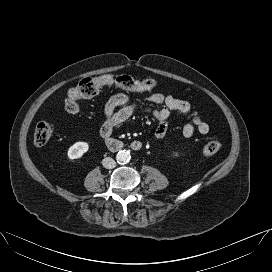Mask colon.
Wrapping results in <instances>:
<instances>
[{
    "label": "colon",
    "instance_id": "1",
    "mask_svg": "<svg viewBox=\"0 0 272 272\" xmlns=\"http://www.w3.org/2000/svg\"><path fill=\"white\" fill-rule=\"evenodd\" d=\"M113 86L125 92H142L156 86L153 79L135 80L130 76H112L102 75L98 77H89L82 79L75 87L71 88L65 98V109L70 113L79 111L78 101L82 98H91L99 93L101 88ZM52 135V127L45 122L37 124L33 140L37 146L46 145ZM221 149V143L218 140L209 141L203 148L204 155H212Z\"/></svg>",
    "mask_w": 272,
    "mask_h": 272
}]
</instances>
